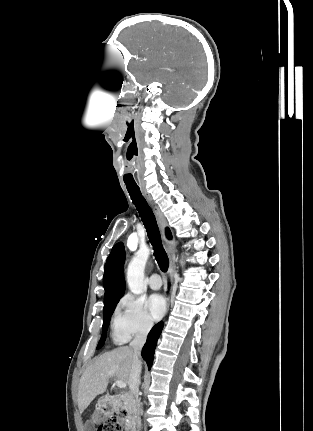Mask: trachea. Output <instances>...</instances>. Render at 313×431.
I'll list each match as a JSON object with an SVG mask.
<instances>
[{"label":"trachea","instance_id":"trachea-1","mask_svg":"<svg viewBox=\"0 0 313 431\" xmlns=\"http://www.w3.org/2000/svg\"><path fill=\"white\" fill-rule=\"evenodd\" d=\"M127 190L146 228L149 241L154 249L155 259L160 269L163 272H166L169 267V260L162 245L154 213L145 198L142 196L139 187L127 186Z\"/></svg>","mask_w":313,"mask_h":431}]
</instances>
